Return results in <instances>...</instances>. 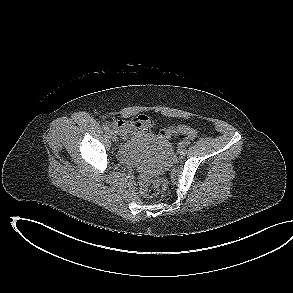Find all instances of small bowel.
I'll use <instances>...</instances> for the list:
<instances>
[{"label": "small bowel", "mask_w": 293, "mask_h": 293, "mask_svg": "<svg viewBox=\"0 0 293 293\" xmlns=\"http://www.w3.org/2000/svg\"><path fill=\"white\" fill-rule=\"evenodd\" d=\"M113 126L122 138H127L130 134L138 137L150 134L153 124L146 115H139L131 121L116 120Z\"/></svg>", "instance_id": "obj_1"}]
</instances>
